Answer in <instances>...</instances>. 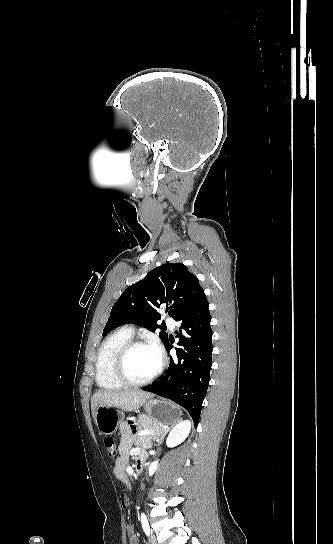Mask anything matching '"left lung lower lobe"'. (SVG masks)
Wrapping results in <instances>:
<instances>
[{
    "label": "left lung lower lobe",
    "instance_id": "obj_1",
    "mask_svg": "<svg viewBox=\"0 0 333 544\" xmlns=\"http://www.w3.org/2000/svg\"><path fill=\"white\" fill-rule=\"evenodd\" d=\"M209 304L203 292L174 320L180 323L176 357L170 358L165 376L156 384L142 388L168 398L184 407L195 427L210 380L212 365V329ZM171 340L165 344L168 351Z\"/></svg>",
    "mask_w": 333,
    "mask_h": 544
}]
</instances>
